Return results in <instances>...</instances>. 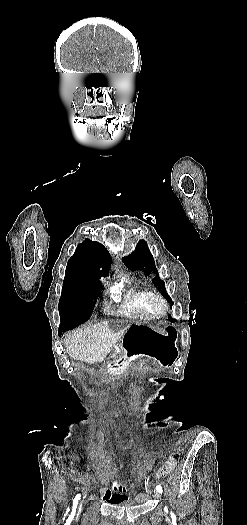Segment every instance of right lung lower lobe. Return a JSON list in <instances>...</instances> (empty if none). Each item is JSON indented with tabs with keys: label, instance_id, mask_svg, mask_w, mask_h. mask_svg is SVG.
Returning <instances> with one entry per match:
<instances>
[{
	"label": "right lung lower lobe",
	"instance_id": "1",
	"mask_svg": "<svg viewBox=\"0 0 247 525\" xmlns=\"http://www.w3.org/2000/svg\"><path fill=\"white\" fill-rule=\"evenodd\" d=\"M69 329H71V328H69V327H61V326H60V327H59L58 334L61 335L62 332H65V331H67V330H69Z\"/></svg>",
	"mask_w": 247,
	"mask_h": 525
}]
</instances>
